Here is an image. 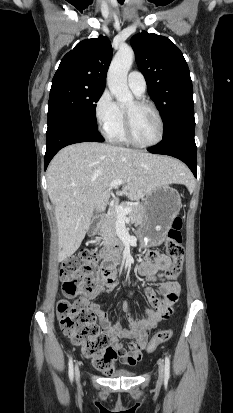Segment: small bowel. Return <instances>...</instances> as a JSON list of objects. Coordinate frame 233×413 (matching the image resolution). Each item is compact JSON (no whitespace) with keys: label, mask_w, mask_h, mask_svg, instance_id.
Returning a JSON list of instances; mask_svg holds the SVG:
<instances>
[{"label":"small bowel","mask_w":233,"mask_h":413,"mask_svg":"<svg viewBox=\"0 0 233 413\" xmlns=\"http://www.w3.org/2000/svg\"><path fill=\"white\" fill-rule=\"evenodd\" d=\"M147 256V261L138 265V273L141 275L158 274L163 277L162 271L171 264L169 257L154 249H149ZM116 286L115 274L102 279L96 291L86 298V303L97 315L103 333L110 338L112 348L116 352V359H119L123 364L134 366L142 358V351L146 347L149 332L160 321L168 317L172 313L173 305L179 302L180 286L175 281L164 280L159 290L147 288L145 293L153 309L145 310L141 318L132 316L130 304L125 302L127 328H123L120 322L112 323L102 305L96 301V297L104 292L114 290ZM122 339L130 340L128 349L121 342Z\"/></svg>","instance_id":"obj_1"}]
</instances>
